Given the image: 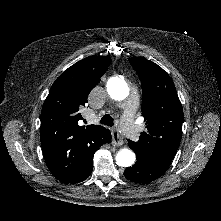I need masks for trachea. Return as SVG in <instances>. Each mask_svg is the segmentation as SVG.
Listing matches in <instances>:
<instances>
[{"label":"trachea","mask_w":221,"mask_h":221,"mask_svg":"<svg viewBox=\"0 0 221 221\" xmlns=\"http://www.w3.org/2000/svg\"><path fill=\"white\" fill-rule=\"evenodd\" d=\"M100 123L112 127L114 125V120L109 114H107L101 118Z\"/></svg>","instance_id":"3493384b"}]
</instances>
